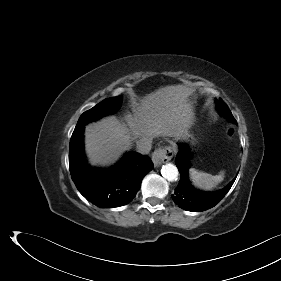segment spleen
Listing matches in <instances>:
<instances>
[{
  "mask_svg": "<svg viewBox=\"0 0 281 281\" xmlns=\"http://www.w3.org/2000/svg\"><path fill=\"white\" fill-rule=\"evenodd\" d=\"M224 174V171H220L218 175H211L194 168L189 169V177L193 185L202 190H211L216 187L224 180Z\"/></svg>",
  "mask_w": 281,
  "mask_h": 281,
  "instance_id": "1",
  "label": "spleen"
}]
</instances>
